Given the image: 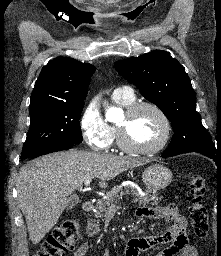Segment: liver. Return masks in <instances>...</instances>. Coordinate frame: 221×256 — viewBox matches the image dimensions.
Returning a JSON list of instances; mask_svg holds the SVG:
<instances>
[{
    "label": "liver",
    "instance_id": "1",
    "mask_svg": "<svg viewBox=\"0 0 221 256\" xmlns=\"http://www.w3.org/2000/svg\"><path fill=\"white\" fill-rule=\"evenodd\" d=\"M148 160L69 150L45 155L21 167L16 188L29 238L38 244L68 206L67 197L87 179L99 178L101 187L120 173Z\"/></svg>",
    "mask_w": 221,
    "mask_h": 256
}]
</instances>
